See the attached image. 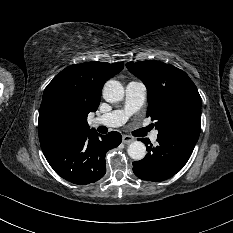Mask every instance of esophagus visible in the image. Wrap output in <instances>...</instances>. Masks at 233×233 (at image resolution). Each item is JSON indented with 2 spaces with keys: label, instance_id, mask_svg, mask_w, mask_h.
I'll return each instance as SVG.
<instances>
[{
  "label": "esophagus",
  "instance_id": "1",
  "mask_svg": "<svg viewBox=\"0 0 233 233\" xmlns=\"http://www.w3.org/2000/svg\"><path fill=\"white\" fill-rule=\"evenodd\" d=\"M134 141V138L129 135H123L122 136V142L125 144H129Z\"/></svg>",
  "mask_w": 233,
  "mask_h": 233
}]
</instances>
